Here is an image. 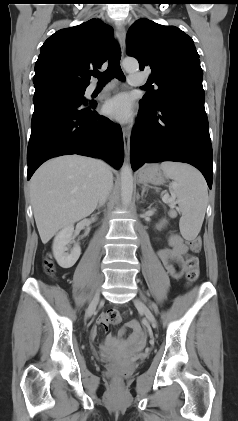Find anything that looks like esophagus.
<instances>
[{
	"label": "esophagus",
	"mask_w": 238,
	"mask_h": 421,
	"mask_svg": "<svg viewBox=\"0 0 238 421\" xmlns=\"http://www.w3.org/2000/svg\"><path fill=\"white\" fill-rule=\"evenodd\" d=\"M115 34L119 42L120 49L122 52H124L125 40H126V32H125L124 26L117 25L115 29ZM123 143H124L125 154L128 157L130 154V131L128 128H123Z\"/></svg>",
	"instance_id": "1"
}]
</instances>
